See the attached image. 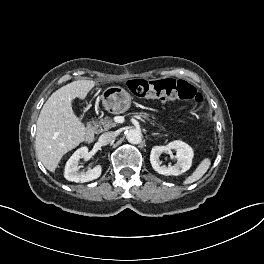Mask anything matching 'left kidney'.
Masks as SVG:
<instances>
[{"instance_id": "1", "label": "left kidney", "mask_w": 264, "mask_h": 264, "mask_svg": "<svg viewBox=\"0 0 264 264\" xmlns=\"http://www.w3.org/2000/svg\"><path fill=\"white\" fill-rule=\"evenodd\" d=\"M173 149L176 150L177 162L174 165H160L159 156L165 151ZM194 153L193 149L185 142L180 140H175L170 142L166 146H154L150 154V162L153 169L162 175H179L190 169L192 165Z\"/></svg>"}]
</instances>
